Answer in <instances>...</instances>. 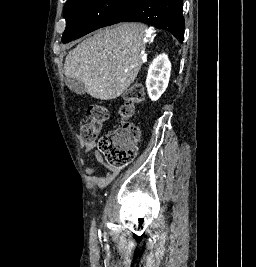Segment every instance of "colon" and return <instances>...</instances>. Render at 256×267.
<instances>
[{
    "mask_svg": "<svg viewBox=\"0 0 256 267\" xmlns=\"http://www.w3.org/2000/svg\"><path fill=\"white\" fill-rule=\"evenodd\" d=\"M143 97L144 88L140 84H134L126 90L125 100L119 108L122 118L119 129L105 134L99 141V149L111 166H125L135 156L141 134L139 128L127 120L135 115V106L143 102ZM88 115L89 118L80 123V133L84 140L94 139L100 133L110 116V110L104 105L92 106Z\"/></svg>",
    "mask_w": 256,
    "mask_h": 267,
    "instance_id": "5ec220e1",
    "label": "colon"
}]
</instances>
